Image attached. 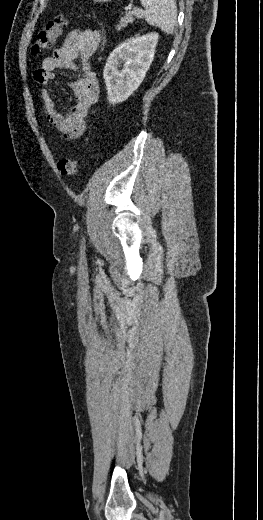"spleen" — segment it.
Wrapping results in <instances>:
<instances>
[{
  "label": "spleen",
  "mask_w": 263,
  "mask_h": 520,
  "mask_svg": "<svg viewBox=\"0 0 263 520\" xmlns=\"http://www.w3.org/2000/svg\"><path fill=\"white\" fill-rule=\"evenodd\" d=\"M145 7V20L164 33L173 34L177 23L175 0H140Z\"/></svg>",
  "instance_id": "3e777b00"
}]
</instances>
